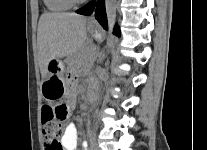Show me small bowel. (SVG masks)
Segmentation results:
<instances>
[{
  "label": "small bowel",
  "mask_w": 207,
  "mask_h": 150,
  "mask_svg": "<svg viewBox=\"0 0 207 150\" xmlns=\"http://www.w3.org/2000/svg\"><path fill=\"white\" fill-rule=\"evenodd\" d=\"M76 95L77 90L76 88L72 87L68 92V106L69 109L73 108L76 103ZM63 150H77L78 146V132L77 128L73 123L68 124L64 130L63 133L59 139ZM81 150H90L91 146L89 140H82L81 141Z\"/></svg>",
  "instance_id": "1"
}]
</instances>
